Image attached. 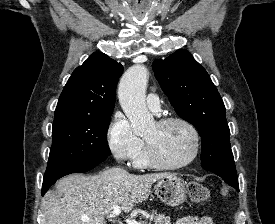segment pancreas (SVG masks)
Masks as SVG:
<instances>
[{
	"label": "pancreas",
	"mask_w": 275,
	"mask_h": 224,
	"mask_svg": "<svg viewBox=\"0 0 275 224\" xmlns=\"http://www.w3.org/2000/svg\"><path fill=\"white\" fill-rule=\"evenodd\" d=\"M153 219L148 223L144 222L143 224H171L170 217L165 214H158L156 211L152 212Z\"/></svg>",
	"instance_id": "pancreas-1"
}]
</instances>
